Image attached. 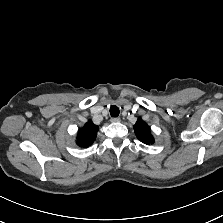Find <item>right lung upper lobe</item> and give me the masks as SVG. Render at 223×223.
Here are the masks:
<instances>
[{"mask_svg": "<svg viewBox=\"0 0 223 223\" xmlns=\"http://www.w3.org/2000/svg\"><path fill=\"white\" fill-rule=\"evenodd\" d=\"M99 127L95 125L92 121H88L84 127L79 129L77 136V144L80 147H88L91 145L97 135Z\"/></svg>", "mask_w": 223, "mask_h": 223, "instance_id": "cb5924a9", "label": "right lung upper lobe"}]
</instances>
